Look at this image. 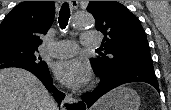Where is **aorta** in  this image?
<instances>
[{
	"label": "aorta",
	"instance_id": "1",
	"mask_svg": "<svg viewBox=\"0 0 171 110\" xmlns=\"http://www.w3.org/2000/svg\"><path fill=\"white\" fill-rule=\"evenodd\" d=\"M95 20L93 16L89 13H77L74 15L72 20L73 28L77 30L87 29L94 25Z\"/></svg>",
	"mask_w": 171,
	"mask_h": 110
}]
</instances>
